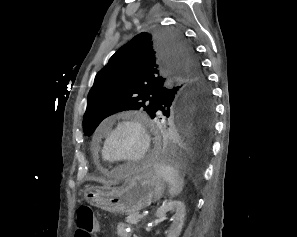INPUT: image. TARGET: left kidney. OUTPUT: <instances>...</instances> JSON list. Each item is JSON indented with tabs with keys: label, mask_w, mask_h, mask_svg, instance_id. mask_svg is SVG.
I'll list each match as a JSON object with an SVG mask.
<instances>
[{
	"label": "left kidney",
	"mask_w": 297,
	"mask_h": 237,
	"mask_svg": "<svg viewBox=\"0 0 297 237\" xmlns=\"http://www.w3.org/2000/svg\"><path fill=\"white\" fill-rule=\"evenodd\" d=\"M167 212L175 213L171 218L172 224L167 231V237H179L185 221V205L177 200L165 202L158 208L156 217L163 221L166 219Z\"/></svg>",
	"instance_id": "5707ae66"
}]
</instances>
